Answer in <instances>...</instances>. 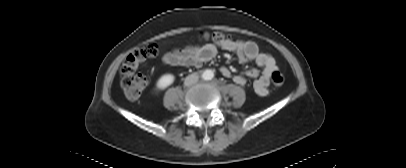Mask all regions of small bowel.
<instances>
[{"mask_svg":"<svg viewBox=\"0 0 406 168\" xmlns=\"http://www.w3.org/2000/svg\"><path fill=\"white\" fill-rule=\"evenodd\" d=\"M219 47L223 50L235 53L241 63L251 61L262 68L261 71L251 69L244 73L234 75L228 67L223 66L220 69L221 74L225 78H232L233 81L240 86L247 85L248 79L253 78V89L255 93L261 97L267 96L269 93L268 85L271 74L278 69L274 57L267 52L261 51L258 45L251 40H231ZM216 53L217 47L212 44L200 47L187 46L166 53L163 56V61L172 66L199 67L204 62L212 59Z\"/></svg>","mask_w":406,"mask_h":168,"instance_id":"1","label":"small bowel"}]
</instances>
